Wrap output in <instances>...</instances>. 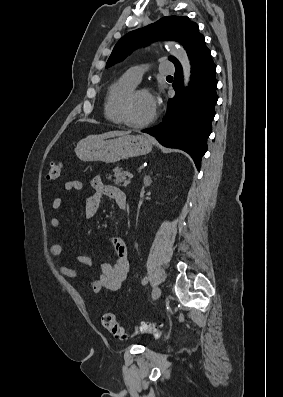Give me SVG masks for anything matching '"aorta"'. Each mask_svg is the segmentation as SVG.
Returning <instances> with one entry per match:
<instances>
[{
	"label": "aorta",
	"instance_id": "aorta-1",
	"mask_svg": "<svg viewBox=\"0 0 283 397\" xmlns=\"http://www.w3.org/2000/svg\"><path fill=\"white\" fill-rule=\"evenodd\" d=\"M167 48L171 52V54L176 57L181 63L183 68L184 85L187 86L190 81L191 65L186 51L182 46L178 45L175 42H168Z\"/></svg>",
	"mask_w": 283,
	"mask_h": 397
}]
</instances>
